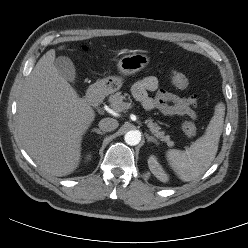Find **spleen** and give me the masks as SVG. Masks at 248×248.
<instances>
[{
  "label": "spleen",
  "instance_id": "3e777b00",
  "mask_svg": "<svg viewBox=\"0 0 248 248\" xmlns=\"http://www.w3.org/2000/svg\"><path fill=\"white\" fill-rule=\"evenodd\" d=\"M224 115V104H217L203 136L193 142L185 151L170 149L166 152L169 165L182 181L195 180L211 165L218 150Z\"/></svg>",
  "mask_w": 248,
  "mask_h": 248
}]
</instances>
